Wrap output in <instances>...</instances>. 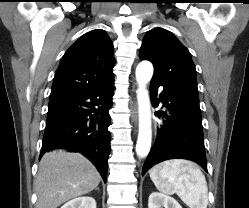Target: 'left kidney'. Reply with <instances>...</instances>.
Here are the masks:
<instances>
[{
  "label": "left kidney",
  "mask_w": 249,
  "mask_h": 208,
  "mask_svg": "<svg viewBox=\"0 0 249 208\" xmlns=\"http://www.w3.org/2000/svg\"><path fill=\"white\" fill-rule=\"evenodd\" d=\"M182 208V206L168 195L153 192L149 196L148 208Z\"/></svg>",
  "instance_id": "obj_1"
}]
</instances>
